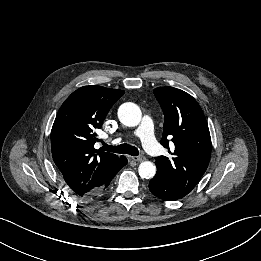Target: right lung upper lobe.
<instances>
[{
  "label": "right lung upper lobe",
  "mask_w": 261,
  "mask_h": 261,
  "mask_svg": "<svg viewBox=\"0 0 261 261\" xmlns=\"http://www.w3.org/2000/svg\"><path fill=\"white\" fill-rule=\"evenodd\" d=\"M123 90L84 86L62 104L51 130L53 160L67 185L81 198H89L109 178L123 156L98 152L96 130Z\"/></svg>",
  "instance_id": "obj_1"
}]
</instances>
